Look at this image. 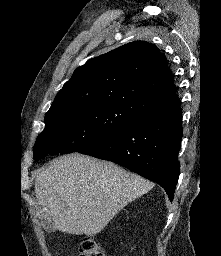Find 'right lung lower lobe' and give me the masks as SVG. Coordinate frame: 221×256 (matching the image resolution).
Here are the masks:
<instances>
[{
    "mask_svg": "<svg viewBox=\"0 0 221 256\" xmlns=\"http://www.w3.org/2000/svg\"><path fill=\"white\" fill-rule=\"evenodd\" d=\"M182 134L178 106L124 125L78 152L112 161L158 183L172 201L180 174Z\"/></svg>",
    "mask_w": 221,
    "mask_h": 256,
    "instance_id": "obj_1",
    "label": "right lung lower lobe"
}]
</instances>
